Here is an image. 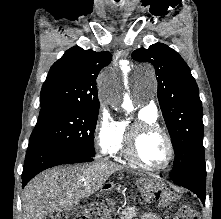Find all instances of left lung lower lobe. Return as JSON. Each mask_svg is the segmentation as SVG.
Wrapping results in <instances>:
<instances>
[{"mask_svg":"<svg viewBox=\"0 0 221 219\" xmlns=\"http://www.w3.org/2000/svg\"><path fill=\"white\" fill-rule=\"evenodd\" d=\"M174 183L185 187L195 193L203 203H205V184H206V171H198L188 175L172 179Z\"/></svg>","mask_w":221,"mask_h":219,"instance_id":"obj_1","label":"left lung lower lobe"}]
</instances>
